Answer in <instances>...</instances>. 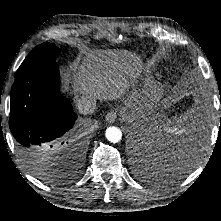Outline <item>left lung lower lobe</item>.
<instances>
[{
	"instance_id": "1",
	"label": "left lung lower lobe",
	"mask_w": 221,
	"mask_h": 221,
	"mask_svg": "<svg viewBox=\"0 0 221 221\" xmlns=\"http://www.w3.org/2000/svg\"><path fill=\"white\" fill-rule=\"evenodd\" d=\"M132 144L138 147L141 155L150 160L151 167L157 170V179L160 181L170 180L172 178L180 176L186 169V165L192 160L194 156L192 148L195 141H182L181 143L174 145L165 151L167 157H169L170 166L165 168L160 165V159L157 158V152L160 150L159 139L151 134H144L132 139ZM150 175V174H149ZM152 175V174H151ZM143 176H148L145 174Z\"/></svg>"
}]
</instances>
